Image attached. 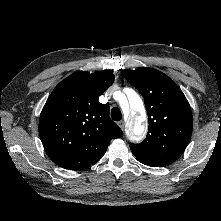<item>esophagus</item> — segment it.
Returning <instances> with one entry per match:
<instances>
[{
	"label": "esophagus",
	"mask_w": 221,
	"mask_h": 221,
	"mask_svg": "<svg viewBox=\"0 0 221 221\" xmlns=\"http://www.w3.org/2000/svg\"><path fill=\"white\" fill-rule=\"evenodd\" d=\"M118 125H119V127H120L122 130H124V128H125V122H124V121H120V122L118 123Z\"/></svg>",
	"instance_id": "obj_1"
}]
</instances>
